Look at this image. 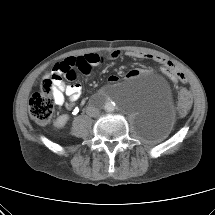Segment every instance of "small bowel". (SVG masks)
Wrapping results in <instances>:
<instances>
[{"mask_svg":"<svg viewBox=\"0 0 215 215\" xmlns=\"http://www.w3.org/2000/svg\"><path fill=\"white\" fill-rule=\"evenodd\" d=\"M127 56L131 57V58H150L153 59L155 61L158 62H162L164 63V60L148 55V54H144V53H139V52H134V51H130L127 52ZM120 57V52L119 51H112L107 55V59L109 60H116ZM105 57L96 53H89L83 56H78V57H69L67 59H65L63 62L55 65V67L51 70L50 73H48L44 79L49 78L53 75V73L56 70V67H58L60 64L64 63L65 61L70 62L73 67L76 69V73L77 71L85 74V75H89V73L91 72V69L95 66L101 65L105 62ZM84 65L88 68L87 71H80V67ZM139 74V71L137 70H132L128 76L129 77H135ZM76 78V77H75ZM73 79H69V80H74ZM110 83H116L118 82L119 78L116 75H111L108 78ZM54 87H53V94H54V98H55V102L57 105H66L67 108H72L74 103L80 98L81 93H82V87L80 84L75 83V84H66L64 83V81L61 79H55L54 82ZM66 97L68 98V102H66Z\"/></svg>","mask_w":215,"mask_h":215,"instance_id":"c3829d8e","label":"small bowel"}]
</instances>
